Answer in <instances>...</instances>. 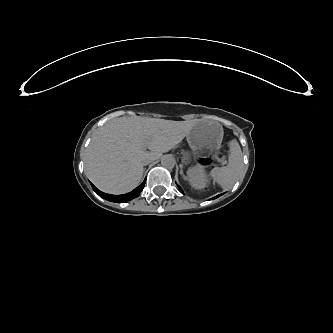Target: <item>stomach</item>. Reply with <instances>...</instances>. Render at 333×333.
<instances>
[{
	"label": "stomach",
	"instance_id": "0dacf381",
	"mask_svg": "<svg viewBox=\"0 0 333 333\" xmlns=\"http://www.w3.org/2000/svg\"><path fill=\"white\" fill-rule=\"evenodd\" d=\"M188 143L193 146H196L197 144L193 136L188 137Z\"/></svg>",
	"mask_w": 333,
	"mask_h": 333
}]
</instances>
